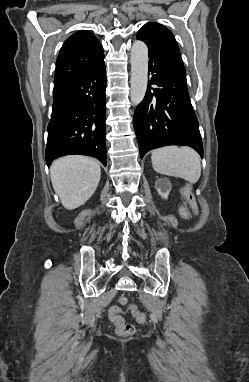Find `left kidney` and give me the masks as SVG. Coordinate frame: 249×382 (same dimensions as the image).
Segmentation results:
<instances>
[{
  "label": "left kidney",
  "mask_w": 249,
  "mask_h": 382,
  "mask_svg": "<svg viewBox=\"0 0 249 382\" xmlns=\"http://www.w3.org/2000/svg\"><path fill=\"white\" fill-rule=\"evenodd\" d=\"M158 194L167 199L172 185L168 179H158L155 183Z\"/></svg>",
  "instance_id": "obj_1"
}]
</instances>
